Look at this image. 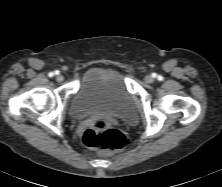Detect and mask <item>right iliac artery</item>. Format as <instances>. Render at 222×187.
Returning <instances> with one entry per match:
<instances>
[{
	"mask_svg": "<svg viewBox=\"0 0 222 187\" xmlns=\"http://www.w3.org/2000/svg\"><path fill=\"white\" fill-rule=\"evenodd\" d=\"M58 73H59L58 71H55V73L50 72V73L48 74V76H49V77H53V76H54V74H58Z\"/></svg>",
	"mask_w": 222,
	"mask_h": 187,
	"instance_id": "1",
	"label": "right iliac artery"
}]
</instances>
